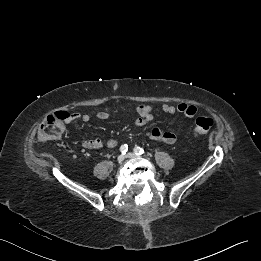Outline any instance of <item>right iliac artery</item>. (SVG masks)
I'll use <instances>...</instances> for the list:
<instances>
[{"label":"right iliac artery","instance_id":"1","mask_svg":"<svg viewBox=\"0 0 261 261\" xmlns=\"http://www.w3.org/2000/svg\"><path fill=\"white\" fill-rule=\"evenodd\" d=\"M120 151L122 154H126V152L128 151V145L124 144L120 147Z\"/></svg>","mask_w":261,"mask_h":261}]
</instances>
